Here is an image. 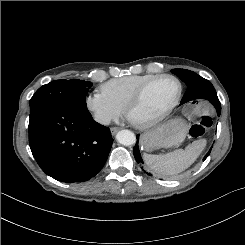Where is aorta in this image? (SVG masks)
<instances>
[{
	"mask_svg": "<svg viewBox=\"0 0 245 245\" xmlns=\"http://www.w3.org/2000/svg\"><path fill=\"white\" fill-rule=\"evenodd\" d=\"M117 141L125 146H131L136 142V136L130 130H121L116 135Z\"/></svg>",
	"mask_w": 245,
	"mask_h": 245,
	"instance_id": "1",
	"label": "aorta"
}]
</instances>
